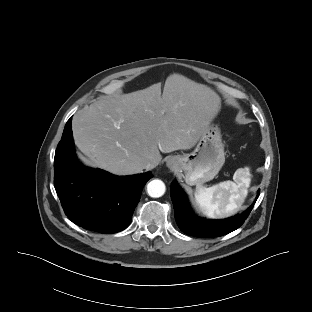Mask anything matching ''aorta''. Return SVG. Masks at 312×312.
Wrapping results in <instances>:
<instances>
[{
    "mask_svg": "<svg viewBox=\"0 0 312 312\" xmlns=\"http://www.w3.org/2000/svg\"><path fill=\"white\" fill-rule=\"evenodd\" d=\"M165 189L164 182L158 179L150 181L147 185L148 195L153 198L161 197L165 193Z\"/></svg>",
    "mask_w": 312,
    "mask_h": 312,
    "instance_id": "obj_1",
    "label": "aorta"
}]
</instances>
